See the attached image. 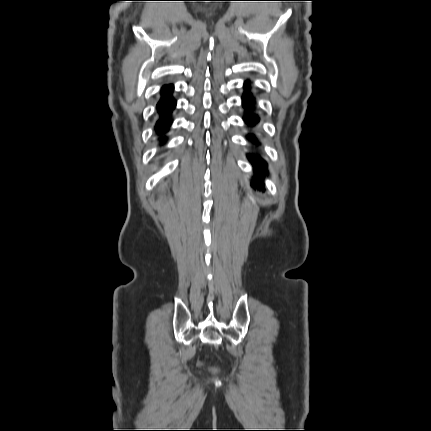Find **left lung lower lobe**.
<instances>
[{
  "label": "left lung lower lobe",
  "instance_id": "1",
  "mask_svg": "<svg viewBox=\"0 0 431 431\" xmlns=\"http://www.w3.org/2000/svg\"><path fill=\"white\" fill-rule=\"evenodd\" d=\"M250 87H251L250 82H246L244 85L245 93L242 97L243 107L245 108L244 120L246 124H248L249 126H255L259 122V117L253 113L254 100L252 98V94L249 91ZM247 139L250 140L253 144L257 146L259 145V142L254 134L247 135ZM247 158L253 165L254 173H255L251 186L253 188L261 189L264 186L263 176L268 175L267 163L259 155H256V154H248Z\"/></svg>",
  "mask_w": 431,
  "mask_h": 431
}]
</instances>
